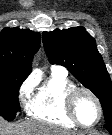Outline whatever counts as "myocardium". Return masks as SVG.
Segmentation results:
<instances>
[{"label": "myocardium", "mask_w": 112, "mask_h": 135, "mask_svg": "<svg viewBox=\"0 0 112 135\" xmlns=\"http://www.w3.org/2000/svg\"><path fill=\"white\" fill-rule=\"evenodd\" d=\"M80 92L87 93L94 100V102L97 106L98 117L93 124L86 125V124L82 123L77 116V113H76V110H75V98H76L77 94L80 93ZM64 101H65L66 110H67L70 118L79 127L92 128L100 122V120L103 116V107H102V104H101V101H100L99 97L88 87H85V86H74V87H72L71 89H69L66 92L65 97H64Z\"/></svg>", "instance_id": "f54148a6"}]
</instances>
